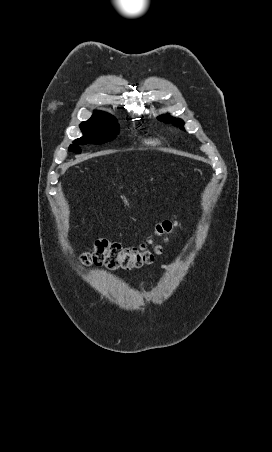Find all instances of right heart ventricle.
I'll return each mask as SVG.
<instances>
[{"mask_svg": "<svg viewBox=\"0 0 272 452\" xmlns=\"http://www.w3.org/2000/svg\"><path fill=\"white\" fill-rule=\"evenodd\" d=\"M148 143H149V144H157L158 142L155 141V140H150V141H148Z\"/></svg>", "mask_w": 272, "mask_h": 452, "instance_id": "e07e8e85", "label": "right heart ventricle"}]
</instances>
